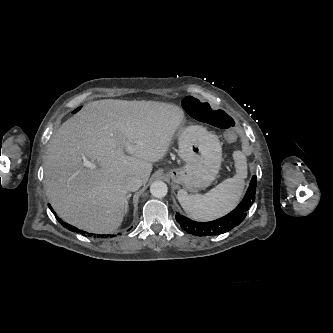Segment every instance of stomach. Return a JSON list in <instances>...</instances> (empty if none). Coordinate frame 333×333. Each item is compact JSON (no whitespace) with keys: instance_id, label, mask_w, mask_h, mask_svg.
<instances>
[{"instance_id":"obj_1","label":"stomach","mask_w":333,"mask_h":333,"mask_svg":"<svg viewBox=\"0 0 333 333\" xmlns=\"http://www.w3.org/2000/svg\"><path fill=\"white\" fill-rule=\"evenodd\" d=\"M178 143L180 157L186 164L168 172L172 181L187 191L208 187L215 180L222 162V147L217 135L202 126L191 125L180 130Z\"/></svg>"}]
</instances>
